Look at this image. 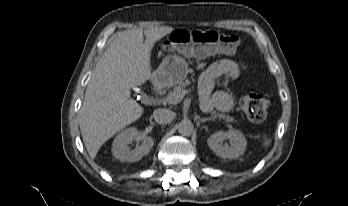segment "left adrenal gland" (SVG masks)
<instances>
[{"label":"left adrenal gland","mask_w":348,"mask_h":206,"mask_svg":"<svg viewBox=\"0 0 348 206\" xmlns=\"http://www.w3.org/2000/svg\"><path fill=\"white\" fill-rule=\"evenodd\" d=\"M196 119L198 124L212 120L211 118H200L199 116H196Z\"/></svg>","instance_id":"obj_1"}]
</instances>
